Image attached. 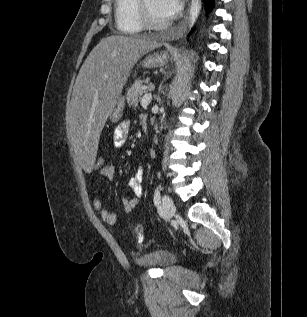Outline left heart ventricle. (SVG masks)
<instances>
[{
  "label": "left heart ventricle",
  "mask_w": 307,
  "mask_h": 317,
  "mask_svg": "<svg viewBox=\"0 0 307 317\" xmlns=\"http://www.w3.org/2000/svg\"><path fill=\"white\" fill-rule=\"evenodd\" d=\"M146 5L149 10L151 17L157 22H165L167 21V17L164 16L159 8L157 0H146Z\"/></svg>",
  "instance_id": "1"
}]
</instances>
